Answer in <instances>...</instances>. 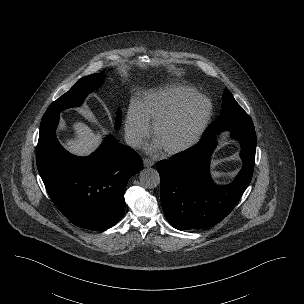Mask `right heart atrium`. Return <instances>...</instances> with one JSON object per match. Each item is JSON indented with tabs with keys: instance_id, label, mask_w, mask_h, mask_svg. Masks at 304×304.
<instances>
[{
	"instance_id": "d8ad5b80",
	"label": "right heart atrium",
	"mask_w": 304,
	"mask_h": 304,
	"mask_svg": "<svg viewBox=\"0 0 304 304\" xmlns=\"http://www.w3.org/2000/svg\"><path fill=\"white\" fill-rule=\"evenodd\" d=\"M150 134V126L137 105L129 108L125 119V135L133 148H139Z\"/></svg>"
}]
</instances>
